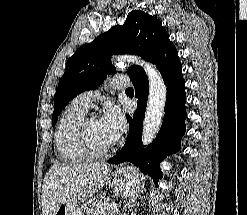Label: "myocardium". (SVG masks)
<instances>
[{
    "mask_svg": "<svg viewBox=\"0 0 247 215\" xmlns=\"http://www.w3.org/2000/svg\"><path fill=\"white\" fill-rule=\"evenodd\" d=\"M91 120L92 118H83V120L80 122L78 126L79 141L89 157L102 158L107 156L110 152L113 151L114 144L101 148L94 143L88 129V125Z\"/></svg>",
    "mask_w": 247,
    "mask_h": 215,
    "instance_id": "myocardium-1",
    "label": "myocardium"
}]
</instances>
